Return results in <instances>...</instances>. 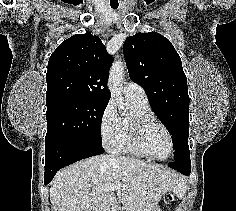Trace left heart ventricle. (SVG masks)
I'll return each mask as SVG.
<instances>
[{
  "mask_svg": "<svg viewBox=\"0 0 236 211\" xmlns=\"http://www.w3.org/2000/svg\"><path fill=\"white\" fill-rule=\"evenodd\" d=\"M141 144L145 151L156 156H165L170 149L169 138L163 128L158 125H152L145 130Z\"/></svg>",
  "mask_w": 236,
  "mask_h": 211,
  "instance_id": "obj_1",
  "label": "left heart ventricle"
}]
</instances>
